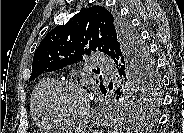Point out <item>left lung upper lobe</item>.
<instances>
[{
  "label": "left lung upper lobe",
  "mask_w": 184,
  "mask_h": 133,
  "mask_svg": "<svg viewBox=\"0 0 184 133\" xmlns=\"http://www.w3.org/2000/svg\"><path fill=\"white\" fill-rule=\"evenodd\" d=\"M97 50L111 56L119 69L121 86L116 90L115 110L122 116L152 117L160 85L155 61L129 23L102 6L82 10L45 36L35 50L29 80ZM100 90H106L102 83Z\"/></svg>",
  "instance_id": "left-lung-upper-lobe-1"
}]
</instances>
